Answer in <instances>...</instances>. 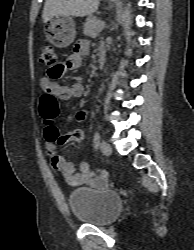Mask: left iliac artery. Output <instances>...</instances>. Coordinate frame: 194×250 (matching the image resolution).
I'll return each mask as SVG.
<instances>
[{"instance_id":"44dca946","label":"left iliac artery","mask_w":194,"mask_h":250,"mask_svg":"<svg viewBox=\"0 0 194 250\" xmlns=\"http://www.w3.org/2000/svg\"><path fill=\"white\" fill-rule=\"evenodd\" d=\"M100 138H101L100 133L98 131L95 132L94 139H93L95 149H98V146L100 144Z\"/></svg>"}]
</instances>
